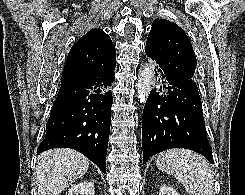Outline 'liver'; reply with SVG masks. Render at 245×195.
<instances>
[{
    "mask_svg": "<svg viewBox=\"0 0 245 195\" xmlns=\"http://www.w3.org/2000/svg\"><path fill=\"white\" fill-rule=\"evenodd\" d=\"M89 168V160L69 148H57L38 156L36 182L38 195H58Z\"/></svg>",
    "mask_w": 245,
    "mask_h": 195,
    "instance_id": "6515ba94",
    "label": "liver"
}]
</instances>
